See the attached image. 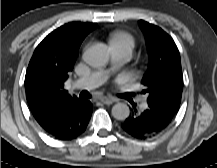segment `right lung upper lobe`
<instances>
[{"label": "right lung upper lobe", "instance_id": "cb5924a9", "mask_svg": "<svg viewBox=\"0 0 217 168\" xmlns=\"http://www.w3.org/2000/svg\"><path fill=\"white\" fill-rule=\"evenodd\" d=\"M96 23H68L51 32L36 47L25 76L28 105L41 125L58 110L81 101L71 97L64 83L72 71L84 38Z\"/></svg>", "mask_w": 217, "mask_h": 168}]
</instances>
